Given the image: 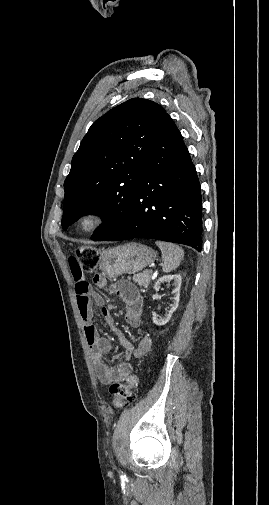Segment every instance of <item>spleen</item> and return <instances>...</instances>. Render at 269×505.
Here are the masks:
<instances>
[{"label":"spleen","mask_w":269,"mask_h":505,"mask_svg":"<svg viewBox=\"0 0 269 505\" xmlns=\"http://www.w3.org/2000/svg\"><path fill=\"white\" fill-rule=\"evenodd\" d=\"M156 245L160 248L162 253L163 272L169 273L175 270L180 265V262L184 258V250L174 243L164 241H156Z\"/></svg>","instance_id":"obj_1"}]
</instances>
